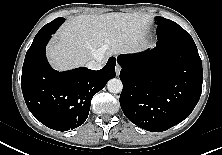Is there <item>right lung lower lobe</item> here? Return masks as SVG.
Returning a JSON list of instances; mask_svg holds the SVG:
<instances>
[{"mask_svg":"<svg viewBox=\"0 0 222 155\" xmlns=\"http://www.w3.org/2000/svg\"><path fill=\"white\" fill-rule=\"evenodd\" d=\"M53 30L28 49L21 76L22 93L30 112L45 126L72 130L88 117L91 99L115 77L116 59L111 57L98 71L80 67L58 72L49 65L45 48Z\"/></svg>","mask_w":222,"mask_h":155,"instance_id":"obj_1","label":"right lung lower lobe"}]
</instances>
